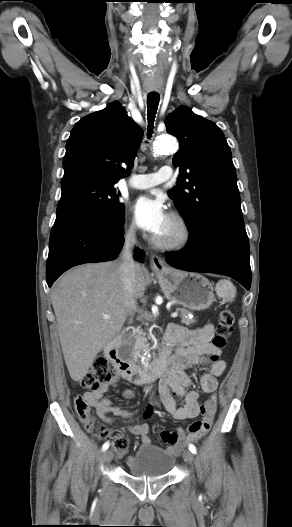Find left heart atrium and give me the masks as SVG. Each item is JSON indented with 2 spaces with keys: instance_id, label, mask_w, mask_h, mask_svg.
Instances as JSON below:
<instances>
[{
  "instance_id": "obj_1",
  "label": "left heart atrium",
  "mask_w": 292,
  "mask_h": 527,
  "mask_svg": "<svg viewBox=\"0 0 292 527\" xmlns=\"http://www.w3.org/2000/svg\"><path fill=\"white\" fill-rule=\"evenodd\" d=\"M136 224L143 230L158 235L169 221L163 202L158 198L141 196L132 205Z\"/></svg>"
}]
</instances>
